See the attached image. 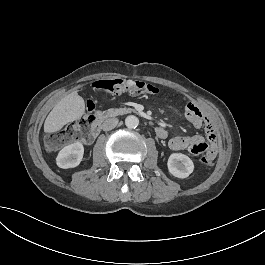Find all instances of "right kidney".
<instances>
[{
	"label": "right kidney",
	"mask_w": 265,
	"mask_h": 265,
	"mask_svg": "<svg viewBox=\"0 0 265 265\" xmlns=\"http://www.w3.org/2000/svg\"><path fill=\"white\" fill-rule=\"evenodd\" d=\"M84 147L80 142H76L64 147L56 158L57 166L63 169L78 166L83 158Z\"/></svg>",
	"instance_id": "1"
}]
</instances>
